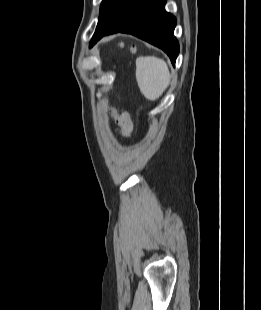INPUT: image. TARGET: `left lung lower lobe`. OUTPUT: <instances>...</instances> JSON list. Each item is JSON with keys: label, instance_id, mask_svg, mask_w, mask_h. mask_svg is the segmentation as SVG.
Returning <instances> with one entry per match:
<instances>
[{"label": "left lung lower lobe", "instance_id": "left-lung-lower-lobe-1", "mask_svg": "<svg viewBox=\"0 0 261 310\" xmlns=\"http://www.w3.org/2000/svg\"><path fill=\"white\" fill-rule=\"evenodd\" d=\"M166 0H122L115 15L105 25H97L90 42L117 32L135 35L164 50L175 64L179 44L174 37L176 19L165 11Z\"/></svg>", "mask_w": 261, "mask_h": 310}]
</instances>
